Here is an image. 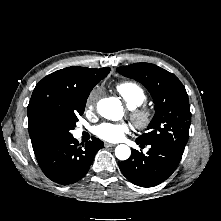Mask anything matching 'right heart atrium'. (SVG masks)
Returning <instances> with one entry per match:
<instances>
[{
	"label": "right heart atrium",
	"instance_id": "obj_1",
	"mask_svg": "<svg viewBox=\"0 0 221 221\" xmlns=\"http://www.w3.org/2000/svg\"><path fill=\"white\" fill-rule=\"evenodd\" d=\"M96 99H97V91L94 90L90 93V95L88 96L87 101H86V111L87 112L93 111L95 104H96Z\"/></svg>",
	"mask_w": 221,
	"mask_h": 221
}]
</instances>
